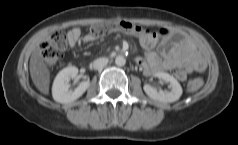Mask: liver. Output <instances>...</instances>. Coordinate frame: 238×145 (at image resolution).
I'll list each match as a JSON object with an SVG mask.
<instances>
[{
    "mask_svg": "<svg viewBox=\"0 0 238 145\" xmlns=\"http://www.w3.org/2000/svg\"><path fill=\"white\" fill-rule=\"evenodd\" d=\"M30 75L36 88L43 94H49L50 70L45 64L42 56V50L37 46L30 58Z\"/></svg>",
    "mask_w": 238,
    "mask_h": 145,
    "instance_id": "liver-1",
    "label": "liver"
}]
</instances>
